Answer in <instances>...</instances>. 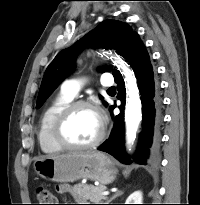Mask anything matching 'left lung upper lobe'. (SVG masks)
<instances>
[{
	"instance_id": "obj_1",
	"label": "left lung upper lobe",
	"mask_w": 200,
	"mask_h": 205,
	"mask_svg": "<svg viewBox=\"0 0 200 205\" xmlns=\"http://www.w3.org/2000/svg\"><path fill=\"white\" fill-rule=\"evenodd\" d=\"M136 34L131 27L125 23L106 20L101 22L97 28L89 32L84 38L74 45L60 51L47 67L44 74L36 107L39 108L73 70L76 55L86 46H99L101 48L116 49L120 55H124L132 37ZM100 71H110L108 68H100ZM102 99V96H100Z\"/></svg>"
}]
</instances>
